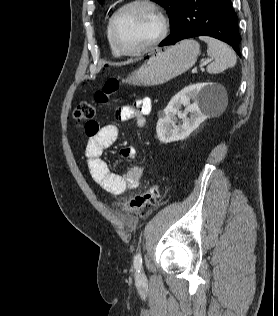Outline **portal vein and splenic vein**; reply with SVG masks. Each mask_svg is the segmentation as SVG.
Here are the masks:
<instances>
[{"label": "portal vein and splenic vein", "instance_id": "obj_1", "mask_svg": "<svg viewBox=\"0 0 278 316\" xmlns=\"http://www.w3.org/2000/svg\"><path fill=\"white\" fill-rule=\"evenodd\" d=\"M210 61H211L210 59L205 60V61L201 64V66L208 64ZM196 72H197V67H194V68L192 69V73L194 74V73H196Z\"/></svg>", "mask_w": 278, "mask_h": 316}]
</instances>
